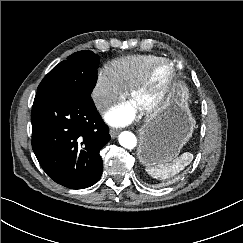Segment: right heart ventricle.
Wrapping results in <instances>:
<instances>
[{
    "instance_id": "e07e8e85",
    "label": "right heart ventricle",
    "mask_w": 243,
    "mask_h": 243,
    "mask_svg": "<svg viewBox=\"0 0 243 243\" xmlns=\"http://www.w3.org/2000/svg\"><path fill=\"white\" fill-rule=\"evenodd\" d=\"M158 58L155 55L125 56L110 61L105 70L120 88L127 90Z\"/></svg>"
}]
</instances>
